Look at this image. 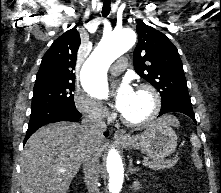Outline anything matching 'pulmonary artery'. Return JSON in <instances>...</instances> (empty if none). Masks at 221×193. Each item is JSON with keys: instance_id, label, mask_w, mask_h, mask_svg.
Segmentation results:
<instances>
[{"instance_id": "obj_1", "label": "pulmonary artery", "mask_w": 221, "mask_h": 193, "mask_svg": "<svg viewBox=\"0 0 221 193\" xmlns=\"http://www.w3.org/2000/svg\"><path fill=\"white\" fill-rule=\"evenodd\" d=\"M127 67V59L125 57L120 58L116 64L110 68V73L112 75L120 74Z\"/></svg>"}]
</instances>
